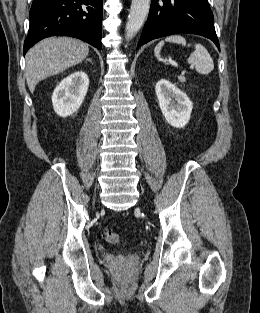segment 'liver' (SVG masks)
Listing matches in <instances>:
<instances>
[{"instance_id":"liver-1","label":"liver","mask_w":260,"mask_h":313,"mask_svg":"<svg viewBox=\"0 0 260 313\" xmlns=\"http://www.w3.org/2000/svg\"><path fill=\"white\" fill-rule=\"evenodd\" d=\"M89 47L72 37H50L33 46L26 54L25 77L31 93L43 79L83 61Z\"/></svg>"}]
</instances>
